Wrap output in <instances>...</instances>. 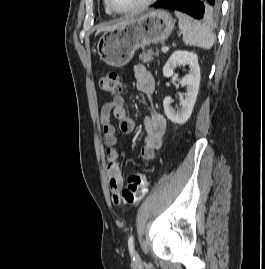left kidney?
<instances>
[{
    "label": "left kidney",
    "mask_w": 265,
    "mask_h": 269,
    "mask_svg": "<svg viewBox=\"0 0 265 269\" xmlns=\"http://www.w3.org/2000/svg\"><path fill=\"white\" fill-rule=\"evenodd\" d=\"M177 64L188 65L189 73L182 81L181 86L187 87V92L181 101L182 108L176 111L171 107V97H165L163 107L167 118L176 124H184L191 116L200 85V67L195 53L188 51H175L163 67V75L169 78L173 75Z\"/></svg>",
    "instance_id": "left-kidney-1"
}]
</instances>
